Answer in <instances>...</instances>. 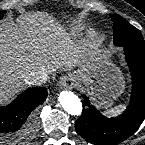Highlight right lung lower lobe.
I'll return each instance as SVG.
<instances>
[{
  "mask_svg": "<svg viewBox=\"0 0 145 145\" xmlns=\"http://www.w3.org/2000/svg\"><path fill=\"white\" fill-rule=\"evenodd\" d=\"M46 98L45 88H29L8 106L0 107V136L5 139L26 136L32 130L28 122L30 113Z\"/></svg>",
  "mask_w": 145,
  "mask_h": 145,
  "instance_id": "98d812e1",
  "label": "right lung lower lobe"
}]
</instances>
